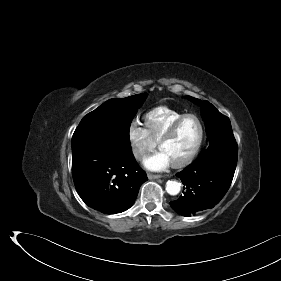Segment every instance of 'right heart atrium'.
I'll return each mask as SVG.
<instances>
[{
    "label": "right heart atrium",
    "instance_id": "obj_1",
    "mask_svg": "<svg viewBox=\"0 0 281 281\" xmlns=\"http://www.w3.org/2000/svg\"><path fill=\"white\" fill-rule=\"evenodd\" d=\"M128 139L131 151L138 160L143 159L147 153L151 152L157 142L148 133L147 129L137 121H133L128 129Z\"/></svg>",
    "mask_w": 281,
    "mask_h": 281
}]
</instances>
